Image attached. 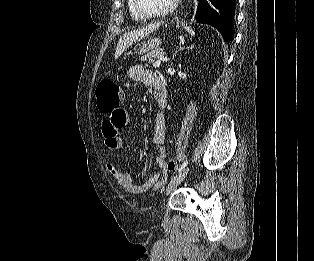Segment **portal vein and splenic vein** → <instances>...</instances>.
Returning <instances> with one entry per match:
<instances>
[{"label":"portal vein and splenic vein","instance_id":"18ae733b","mask_svg":"<svg viewBox=\"0 0 314 261\" xmlns=\"http://www.w3.org/2000/svg\"><path fill=\"white\" fill-rule=\"evenodd\" d=\"M166 60H167L166 58L159 56L158 59L154 62L153 66L157 68L161 65L162 61H166Z\"/></svg>","mask_w":314,"mask_h":261}]
</instances>
